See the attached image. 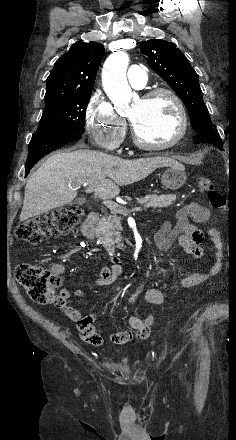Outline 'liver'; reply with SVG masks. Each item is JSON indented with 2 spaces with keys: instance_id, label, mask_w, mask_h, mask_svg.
Listing matches in <instances>:
<instances>
[{
  "instance_id": "obj_1",
  "label": "liver",
  "mask_w": 236,
  "mask_h": 440,
  "mask_svg": "<svg viewBox=\"0 0 236 440\" xmlns=\"http://www.w3.org/2000/svg\"><path fill=\"white\" fill-rule=\"evenodd\" d=\"M172 162L161 156L125 160L86 149L58 152L28 179L20 221L72 205L76 188L81 185H88L99 199H111L120 193L119 186L143 180L158 167Z\"/></svg>"
}]
</instances>
